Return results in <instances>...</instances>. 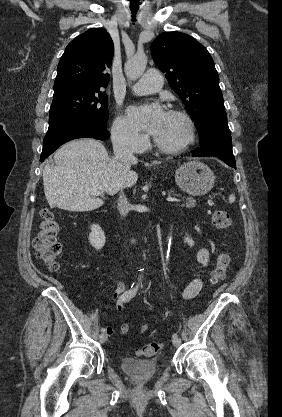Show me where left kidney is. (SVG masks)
Returning <instances> with one entry per match:
<instances>
[{"label": "left kidney", "mask_w": 282, "mask_h": 417, "mask_svg": "<svg viewBox=\"0 0 282 417\" xmlns=\"http://www.w3.org/2000/svg\"><path fill=\"white\" fill-rule=\"evenodd\" d=\"M184 243H187L189 247H194L195 243L191 237H184Z\"/></svg>", "instance_id": "5707ae66"}]
</instances>
